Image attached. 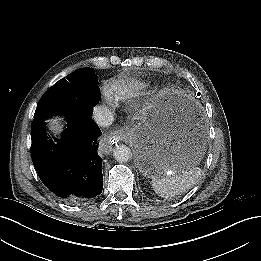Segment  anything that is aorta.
<instances>
[{
    "label": "aorta",
    "mask_w": 261,
    "mask_h": 261,
    "mask_svg": "<svg viewBox=\"0 0 261 261\" xmlns=\"http://www.w3.org/2000/svg\"><path fill=\"white\" fill-rule=\"evenodd\" d=\"M113 156L120 163L128 162L132 158V152L126 145H118L113 151Z\"/></svg>",
    "instance_id": "762f6f07"
}]
</instances>
